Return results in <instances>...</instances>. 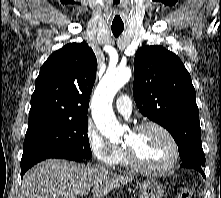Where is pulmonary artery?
<instances>
[{
    "label": "pulmonary artery",
    "instance_id": "e3ab8cb5",
    "mask_svg": "<svg viewBox=\"0 0 221 198\" xmlns=\"http://www.w3.org/2000/svg\"><path fill=\"white\" fill-rule=\"evenodd\" d=\"M116 109L123 116L129 117L132 111V102L129 96H119L116 100Z\"/></svg>",
    "mask_w": 221,
    "mask_h": 198
}]
</instances>
